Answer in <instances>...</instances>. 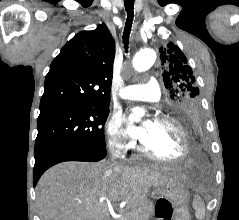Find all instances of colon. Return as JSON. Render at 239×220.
Instances as JSON below:
<instances>
[{
	"label": "colon",
	"mask_w": 239,
	"mask_h": 220,
	"mask_svg": "<svg viewBox=\"0 0 239 220\" xmlns=\"http://www.w3.org/2000/svg\"><path fill=\"white\" fill-rule=\"evenodd\" d=\"M188 93L192 96L196 95L194 89H188ZM159 217L162 220H171L173 217L174 209L168 200H160L157 205Z\"/></svg>",
	"instance_id": "1"
}]
</instances>
